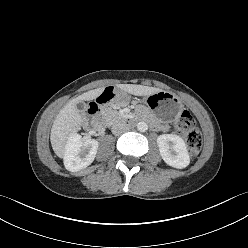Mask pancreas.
Segmentation results:
<instances>
[{
	"label": "pancreas",
	"mask_w": 248,
	"mask_h": 248,
	"mask_svg": "<svg viewBox=\"0 0 248 248\" xmlns=\"http://www.w3.org/2000/svg\"><path fill=\"white\" fill-rule=\"evenodd\" d=\"M120 118V113L113 109V108H107L105 110V119L108 122V124H112L114 121Z\"/></svg>",
	"instance_id": "cf45deb5"
}]
</instances>
